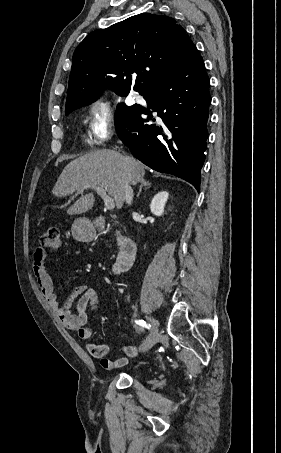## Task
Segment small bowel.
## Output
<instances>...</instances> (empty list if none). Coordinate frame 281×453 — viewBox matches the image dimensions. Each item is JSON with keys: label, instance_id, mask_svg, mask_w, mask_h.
<instances>
[{"label": "small bowel", "instance_id": "small-bowel-1", "mask_svg": "<svg viewBox=\"0 0 281 453\" xmlns=\"http://www.w3.org/2000/svg\"><path fill=\"white\" fill-rule=\"evenodd\" d=\"M49 261L48 253L43 250H37L33 255V274L36 282L46 299L49 307L54 310L61 321L69 330L77 332L78 336L83 340H90L92 330L96 327V320H92L90 325L89 312L95 313L99 307L98 291L88 284H80L70 289L66 296L65 305H61L57 294L53 290L51 276L47 272V263ZM77 301V314H72L69 311V304ZM86 350L92 358L101 362L102 367L106 371H114L128 363V357L122 356L112 359L108 356V346L87 343ZM123 352L127 356L139 354V348L136 346H126Z\"/></svg>", "mask_w": 281, "mask_h": 453}]
</instances>
